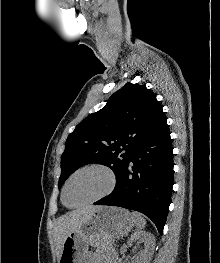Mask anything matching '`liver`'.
<instances>
[{
	"label": "liver",
	"mask_w": 220,
	"mask_h": 263,
	"mask_svg": "<svg viewBox=\"0 0 220 263\" xmlns=\"http://www.w3.org/2000/svg\"><path fill=\"white\" fill-rule=\"evenodd\" d=\"M100 208L101 206H86L77 210H73L58 218L54 227V238L57 249L60 250V253L66 236L79 227L82 223L89 220L94 212Z\"/></svg>",
	"instance_id": "1"
}]
</instances>
